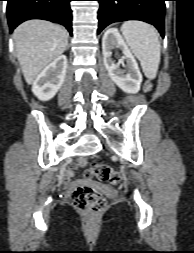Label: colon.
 Returning <instances> with one entry per match:
<instances>
[{"instance_id": "obj_1", "label": "colon", "mask_w": 194, "mask_h": 253, "mask_svg": "<svg viewBox=\"0 0 194 253\" xmlns=\"http://www.w3.org/2000/svg\"><path fill=\"white\" fill-rule=\"evenodd\" d=\"M144 89L145 91H150L151 84L146 82ZM78 165L85 167L87 166V161L81 158L78 160ZM87 175H92L101 181H107L113 185L118 184L121 180V175L118 171L102 163L91 164L87 170ZM72 202L76 209L89 213L100 212L106 206L105 198L89 186L76 188L73 193Z\"/></svg>"}]
</instances>
